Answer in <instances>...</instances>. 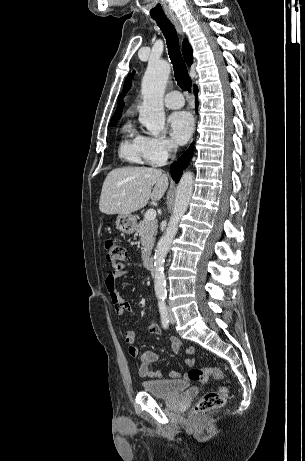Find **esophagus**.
<instances>
[{
  "instance_id": "esophagus-1",
  "label": "esophagus",
  "mask_w": 305,
  "mask_h": 461,
  "mask_svg": "<svg viewBox=\"0 0 305 461\" xmlns=\"http://www.w3.org/2000/svg\"><path fill=\"white\" fill-rule=\"evenodd\" d=\"M169 20L172 22V24L174 25V27L176 28V30L178 31V33L183 36V31H182V27H181V24L179 22V20L177 19L176 16L172 15V16H169L168 17Z\"/></svg>"
}]
</instances>
